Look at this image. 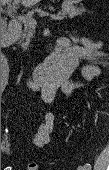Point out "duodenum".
Returning a JSON list of instances; mask_svg holds the SVG:
<instances>
[{
  "instance_id": "obj_1",
  "label": "duodenum",
  "mask_w": 109,
  "mask_h": 170,
  "mask_svg": "<svg viewBox=\"0 0 109 170\" xmlns=\"http://www.w3.org/2000/svg\"><path fill=\"white\" fill-rule=\"evenodd\" d=\"M18 26L16 23H11L9 32L3 34L2 46L9 47L12 43L11 33ZM72 45L67 38H62L58 42V46L54 55L46 58L43 62L37 64L33 72L30 74L27 80V86L32 91H46L54 89L55 82L49 76L53 68H55L61 62H67L73 65L77 62V56L75 53L67 55L68 51H71Z\"/></svg>"
}]
</instances>
